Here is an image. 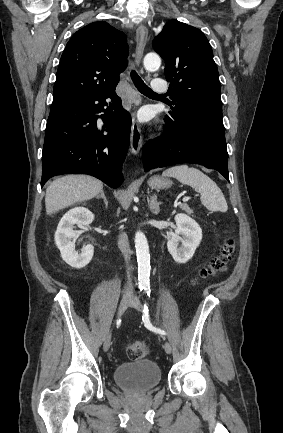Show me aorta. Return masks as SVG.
<instances>
[{
	"mask_svg": "<svg viewBox=\"0 0 283 433\" xmlns=\"http://www.w3.org/2000/svg\"><path fill=\"white\" fill-rule=\"evenodd\" d=\"M144 67L148 71H155L161 65V59L156 53H148L144 57ZM135 248L138 262V281L140 287H148L150 283V253L147 239L141 231L135 234Z\"/></svg>",
	"mask_w": 283,
	"mask_h": 433,
	"instance_id": "obj_1",
	"label": "aorta"
}]
</instances>
